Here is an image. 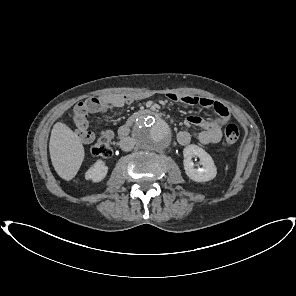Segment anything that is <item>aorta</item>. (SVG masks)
<instances>
[{
	"instance_id": "1",
	"label": "aorta",
	"mask_w": 296,
	"mask_h": 296,
	"mask_svg": "<svg viewBox=\"0 0 296 296\" xmlns=\"http://www.w3.org/2000/svg\"><path fill=\"white\" fill-rule=\"evenodd\" d=\"M133 135L136 144L146 151H164L171 142L169 125L149 115L138 119Z\"/></svg>"
}]
</instances>
